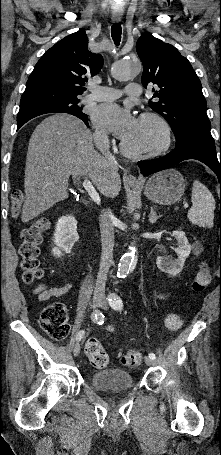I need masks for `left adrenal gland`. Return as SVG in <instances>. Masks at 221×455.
Wrapping results in <instances>:
<instances>
[{"instance_id":"left-adrenal-gland-1","label":"left adrenal gland","mask_w":221,"mask_h":455,"mask_svg":"<svg viewBox=\"0 0 221 455\" xmlns=\"http://www.w3.org/2000/svg\"><path fill=\"white\" fill-rule=\"evenodd\" d=\"M160 217H161V215H157L155 209L151 207L150 214H149V222H150L151 224H153V223H155Z\"/></svg>"}]
</instances>
